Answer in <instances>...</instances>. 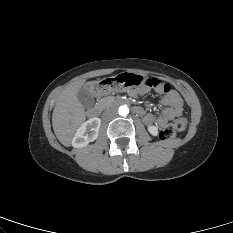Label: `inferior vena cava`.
Masks as SVG:
<instances>
[{"instance_id": "inferior-vena-cava-1", "label": "inferior vena cava", "mask_w": 233, "mask_h": 233, "mask_svg": "<svg viewBox=\"0 0 233 233\" xmlns=\"http://www.w3.org/2000/svg\"><path fill=\"white\" fill-rule=\"evenodd\" d=\"M117 111L115 109H108L103 114L102 117L104 120H110L116 117Z\"/></svg>"}]
</instances>
